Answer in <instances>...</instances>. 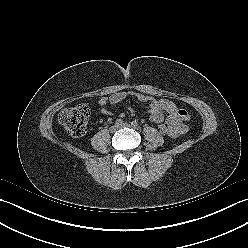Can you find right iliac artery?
<instances>
[{
    "label": "right iliac artery",
    "mask_w": 248,
    "mask_h": 248,
    "mask_svg": "<svg viewBox=\"0 0 248 248\" xmlns=\"http://www.w3.org/2000/svg\"><path fill=\"white\" fill-rule=\"evenodd\" d=\"M123 123V120L122 119H117L116 121H115V124L116 125H121Z\"/></svg>",
    "instance_id": "82829eb1"
}]
</instances>
